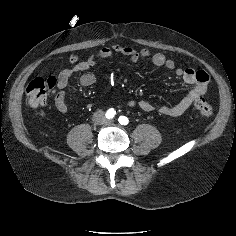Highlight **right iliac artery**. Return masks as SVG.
Segmentation results:
<instances>
[{
	"label": "right iliac artery",
	"mask_w": 236,
	"mask_h": 236,
	"mask_svg": "<svg viewBox=\"0 0 236 236\" xmlns=\"http://www.w3.org/2000/svg\"><path fill=\"white\" fill-rule=\"evenodd\" d=\"M115 114H116V111L113 108H110L106 112V117L110 119V118H113Z\"/></svg>",
	"instance_id": "82829eb1"
}]
</instances>
